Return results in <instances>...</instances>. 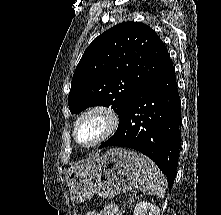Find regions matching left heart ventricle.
<instances>
[{"mask_svg":"<svg viewBox=\"0 0 221 215\" xmlns=\"http://www.w3.org/2000/svg\"><path fill=\"white\" fill-rule=\"evenodd\" d=\"M105 128L102 116L94 114L81 121L77 128V137L82 144H90L96 140Z\"/></svg>","mask_w":221,"mask_h":215,"instance_id":"left-heart-ventricle-1","label":"left heart ventricle"}]
</instances>
